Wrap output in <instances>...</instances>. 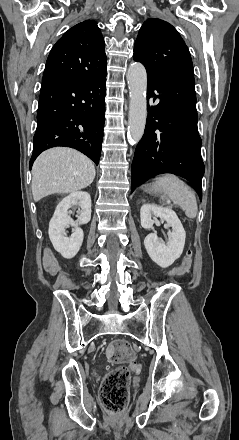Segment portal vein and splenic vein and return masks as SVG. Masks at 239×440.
Wrapping results in <instances>:
<instances>
[{
  "mask_svg": "<svg viewBox=\"0 0 239 440\" xmlns=\"http://www.w3.org/2000/svg\"><path fill=\"white\" fill-rule=\"evenodd\" d=\"M165 201L167 202L166 204H167V206H168V207H170V206H173V205H174L173 203H171V202H170V199H166Z\"/></svg>",
  "mask_w": 239,
  "mask_h": 440,
  "instance_id": "1",
  "label": "portal vein and splenic vein"
}]
</instances>
